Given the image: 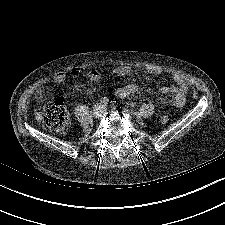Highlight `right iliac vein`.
<instances>
[{
    "mask_svg": "<svg viewBox=\"0 0 225 225\" xmlns=\"http://www.w3.org/2000/svg\"><path fill=\"white\" fill-rule=\"evenodd\" d=\"M103 113V107L101 105H96L93 109V117L99 118Z\"/></svg>",
    "mask_w": 225,
    "mask_h": 225,
    "instance_id": "1",
    "label": "right iliac vein"
}]
</instances>
